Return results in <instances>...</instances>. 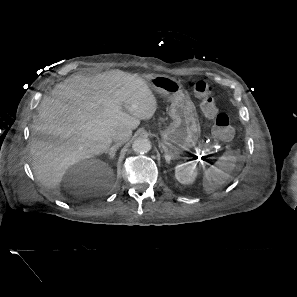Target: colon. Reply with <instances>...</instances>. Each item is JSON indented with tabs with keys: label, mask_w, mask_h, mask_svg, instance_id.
Listing matches in <instances>:
<instances>
[{
	"label": "colon",
	"mask_w": 297,
	"mask_h": 297,
	"mask_svg": "<svg viewBox=\"0 0 297 297\" xmlns=\"http://www.w3.org/2000/svg\"><path fill=\"white\" fill-rule=\"evenodd\" d=\"M187 85L199 99L202 112L211 120L214 134L222 139L231 138L233 129L230 117L227 113L218 111L212 96L211 86L198 78L188 80Z\"/></svg>",
	"instance_id": "colon-1"
}]
</instances>
